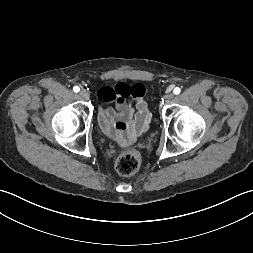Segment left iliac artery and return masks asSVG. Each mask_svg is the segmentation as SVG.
I'll use <instances>...</instances> for the list:
<instances>
[{
  "label": "left iliac artery",
  "mask_w": 253,
  "mask_h": 253,
  "mask_svg": "<svg viewBox=\"0 0 253 253\" xmlns=\"http://www.w3.org/2000/svg\"><path fill=\"white\" fill-rule=\"evenodd\" d=\"M180 91H181L180 88H179V87H176V88L174 89L173 93L177 95V94L180 93Z\"/></svg>",
  "instance_id": "1"
}]
</instances>
